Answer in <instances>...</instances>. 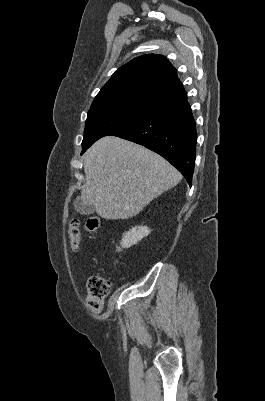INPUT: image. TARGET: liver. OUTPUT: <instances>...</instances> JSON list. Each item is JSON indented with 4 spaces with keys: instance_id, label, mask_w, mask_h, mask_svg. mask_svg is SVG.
I'll return each mask as SVG.
<instances>
[{
    "instance_id": "obj_1",
    "label": "liver",
    "mask_w": 265,
    "mask_h": 401,
    "mask_svg": "<svg viewBox=\"0 0 265 401\" xmlns=\"http://www.w3.org/2000/svg\"><path fill=\"white\" fill-rule=\"evenodd\" d=\"M81 198L102 219H129L182 178L165 158L118 136H104L85 152Z\"/></svg>"
}]
</instances>
